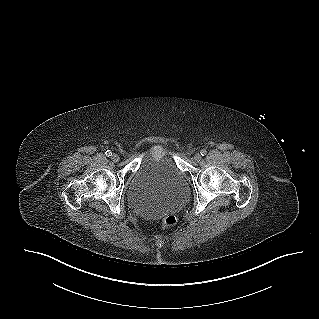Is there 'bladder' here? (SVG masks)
Instances as JSON below:
<instances>
[{
  "mask_svg": "<svg viewBox=\"0 0 319 319\" xmlns=\"http://www.w3.org/2000/svg\"><path fill=\"white\" fill-rule=\"evenodd\" d=\"M189 192L185 173L171 157L148 153L134 172L126 197L137 212L156 214L180 206L187 201Z\"/></svg>",
  "mask_w": 319,
  "mask_h": 319,
  "instance_id": "bladder-1",
  "label": "bladder"
}]
</instances>
